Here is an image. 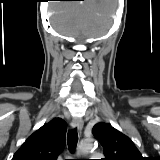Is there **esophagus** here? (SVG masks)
Wrapping results in <instances>:
<instances>
[{
	"mask_svg": "<svg viewBox=\"0 0 160 160\" xmlns=\"http://www.w3.org/2000/svg\"><path fill=\"white\" fill-rule=\"evenodd\" d=\"M72 125L74 128H77L79 132H81L83 128V121L79 118H73Z\"/></svg>",
	"mask_w": 160,
	"mask_h": 160,
	"instance_id": "esophagus-1",
	"label": "esophagus"
}]
</instances>
